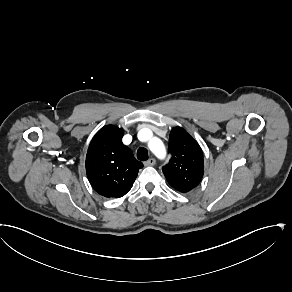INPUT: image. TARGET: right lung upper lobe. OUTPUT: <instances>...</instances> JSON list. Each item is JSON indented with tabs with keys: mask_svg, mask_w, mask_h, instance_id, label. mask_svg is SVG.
Masks as SVG:
<instances>
[{
	"mask_svg": "<svg viewBox=\"0 0 292 292\" xmlns=\"http://www.w3.org/2000/svg\"><path fill=\"white\" fill-rule=\"evenodd\" d=\"M124 131L113 125L101 128L86 155V174L95 191L107 198L124 196L143 164L122 143Z\"/></svg>",
	"mask_w": 292,
	"mask_h": 292,
	"instance_id": "right-lung-upper-lobe-1",
	"label": "right lung upper lobe"
}]
</instances>
